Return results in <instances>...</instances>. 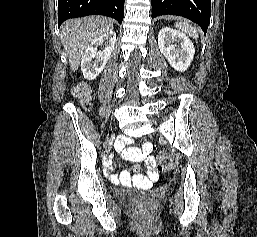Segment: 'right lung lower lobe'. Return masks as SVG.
Returning <instances> with one entry per match:
<instances>
[{
	"label": "right lung lower lobe",
	"instance_id": "98d812e1",
	"mask_svg": "<svg viewBox=\"0 0 257 237\" xmlns=\"http://www.w3.org/2000/svg\"><path fill=\"white\" fill-rule=\"evenodd\" d=\"M125 0H58V25L69 18L105 15L122 23Z\"/></svg>",
	"mask_w": 257,
	"mask_h": 237
}]
</instances>
